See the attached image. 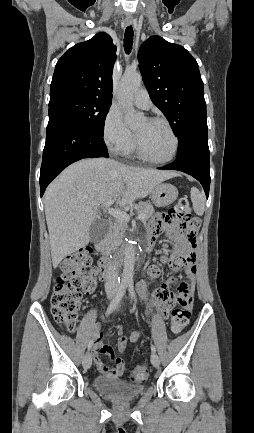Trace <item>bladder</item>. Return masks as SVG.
<instances>
[{"label": "bladder", "instance_id": "31cf9c89", "mask_svg": "<svg viewBox=\"0 0 254 433\" xmlns=\"http://www.w3.org/2000/svg\"><path fill=\"white\" fill-rule=\"evenodd\" d=\"M93 385L100 393L113 399H133L140 396L145 389L142 384L104 376L95 377Z\"/></svg>", "mask_w": 254, "mask_h": 433}]
</instances>
